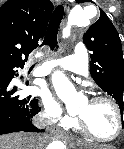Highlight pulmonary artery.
<instances>
[{
  "label": "pulmonary artery",
  "instance_id": "pulmonary-artery-1",
  "mask_svg": "<svg viewBox=\"0 0 124 149\" xmlns=\"http://www.w3.org/2000/svg\"><path fill=\"white\" fill-rule=\"evenodd\" d=\"M55 67L70 70L84 77L88 76V56L86 48L83 45H76L73 55L47 66L36 68L33 75H46Z\"/></svg>",
  "mask_w": 124,
  "mask_h": 149
}]
</instances>
